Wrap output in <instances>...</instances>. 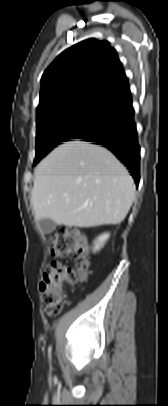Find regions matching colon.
Returning a JSON list of instances; mask_svg holds the SVG:
<instances>
[{
	"instance_id": "5ec220e1",
	"label": "colon",
	"mask_w": 168,
	"mask_h": 406,
	"mask_svg": "<svg viewBox=\"0 0 168 406\" xmlns=\"http://www.w3.org/2000/svg\"><path fill=\"white\" fill-rule=\"evenodd\" d=\"M51 247L55 257L76 256L74 267L51 261L42 275L40 291L44 311L49 316H56L62 307L65 284L86 281L90 274V261L85 238L74 228L59 229L51 238Z\"/></svg>"
}]
</instances>
